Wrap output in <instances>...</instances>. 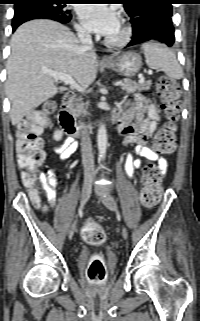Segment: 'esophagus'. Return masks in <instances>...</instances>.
Wrapping results in <instances>:
<instances>
[{
	"mask_svg": "<svg viewBox=\"0 0 200 321\" xmlns=\"http://www.w3.org/2000/svg\"><path fill=\"white\" fill-rule=\"evenodd\" d=\"M102 61H103V62H109V61H110V57H108V56H103V57H102Z\"/></svg>",
	"mask_w": 200,
	"mask_h": 321,
	"instance_id": "esophagus-1",
	"label": "esophagus"
}]
</instances>
